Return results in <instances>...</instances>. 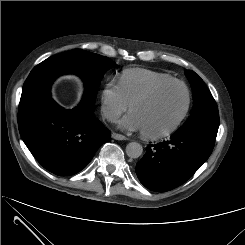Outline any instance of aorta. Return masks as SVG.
<instances>
[{
  "instance_id": "aorta-1",
  "label": "aorta",
  "mask_w": 245,
  "mask_h": 245,
  "mask_svg": "<svg viewBox=\"0 0 245 245\" xmlns=\"http://www.w3.org/2000/svg\"><path fill=\"white\" fill-rule=\"evenodd\" d=\"M142 145L137 142H130L126 146V154L130 158H138L142 155Z\"/></svg>"
}]
</instances>
